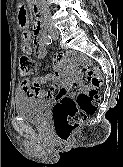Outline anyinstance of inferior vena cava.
Returning a JSON list of instances; mask_svg holds the SVG:
<instances>
[{
    "instance_id": "inferior-vena-cava-1",
    "label": "inferior vena cava",
    "mask_w": 123,
    "mask_h": 167,
    "mask_svg": "<svg viewBox=\"0 0 123 167\" xmlns=\"http://www.w3.org/2000/svg\"><path fill=\"white\" fill-rule=\"evenodd\" d=\"M39 3L41 5V8L43 12L47 15H50V10L48 4L45 2V0H39Z\"/></svg>"
}]
</instances>
